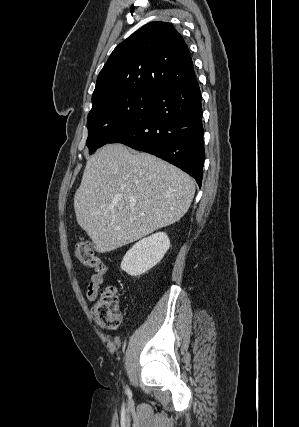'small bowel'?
<instances>
[{
	"mask_svg": "<svg viewBox=\"0 0 299 427\" xmlns=\"http://www.w3.org/2000/svg\"><path fill=\"white\" fill-rule=\"evenodd\" d=\"M105 273H96L91 276L87 285L86 296L89 301H95L98 297L100 286L103 283Z\"/></svg>",
	"mask_w": 299,
	"mask_h": 427,
	"instance_id": "1",
	"label": "small bowel"
}]
</instances>
